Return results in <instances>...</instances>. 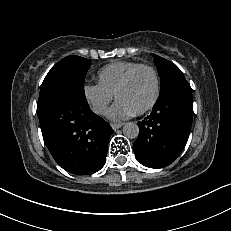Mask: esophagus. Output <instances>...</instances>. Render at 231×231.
Returning <instances> with one entry per match:
<instances>
[{"label":"esophagus","instance_id":"1","mask_svg":"<svg viewBox=\"0 0 231 231\" xmlns=\"http://www.w3.org/2000/svg\"><path fill=\"white\" fill-rule=\"evenodd\" d=\"M122 126H123L122 123H111V127L113 128V130H117L121 128Z\"/></svg>","mask_w":231,"mask_h":231}]
</instances>
